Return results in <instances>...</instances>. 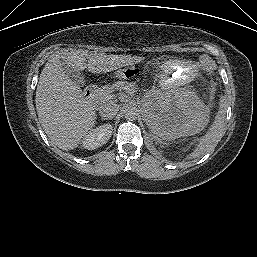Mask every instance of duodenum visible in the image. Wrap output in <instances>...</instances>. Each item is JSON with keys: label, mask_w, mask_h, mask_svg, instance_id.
<instances>
[{"label": "duodenum", "mask_w": 257, "mask_h": 257, "mask_svg": "<svg viewBox=\"0 0 257 257\" xmlns=\"http://www.w3.org/2000/svg\"><path fill=\"white\" fill-rule=\"evenodd\" d=\"M96 97V87L94 85L88 86L85 90V98L88 104L93 105Z\"/></svg>", "instance_id": "obj_1"}]
</instances>
